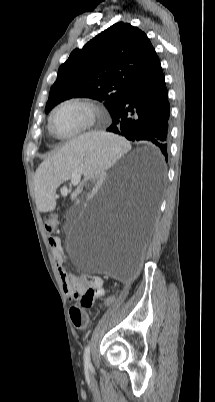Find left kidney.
Returning <instances> with one entry per match:
<instances>
[{
	"instance_id": "left-kidney-1",
	"label": "left kidney",
	"mask_w": 215,
	"mask_h": 402,
	"mask_svg": "<svg viewBox=\"0 0 215 402\" xmlns=\"http://www.w3.org/2000/svg\"><path fill=\"white\" fill-rule=\"evenodd\" d=\"M105 178L104 172L99 170L95 175H86L85 184L83 186H78V191H83L84 193H96L97 187L101 186V181Z\"/></svg>"
}]
</instances>
